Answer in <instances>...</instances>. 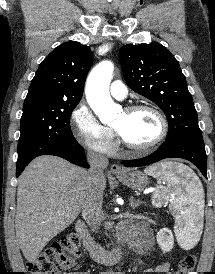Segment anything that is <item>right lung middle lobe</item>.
Wrapping results in <instances>:
<instances>
[{"instance_id":"obj_1","label":"right lung middle lobe","mask_w":215,"mask_h":274,"mask_svg":"<svg viewBox=\"0 0 215 274\" xmlns=\"http://www.w3.org/2000/svg\"><path fill=\"white\" fill-rule=\"evenodd\" d=\"M77 102L35 100L24 103L17 164L51 147L76 143L70 116Z\"/></svg>"}]
</instances>
